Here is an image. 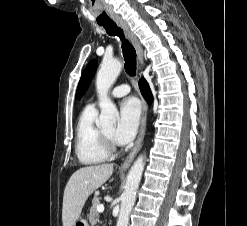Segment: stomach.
<instances>
[{
    "instance_id": "stomach-1",
    "label": "stomach",
    "mask_w": 247,
    "mask_h": 226,
    "mask_svg": "<svg viewBox=\"0 0 247 226\" xmlns=\"http://www.w3.org/2000/svg\"><path fill=\"white\" fill-rule=\"evenodd\" d=\"M73 226H89V224L85 219L79 218L74 222Z\"/></svg>"
}]
</instances>
